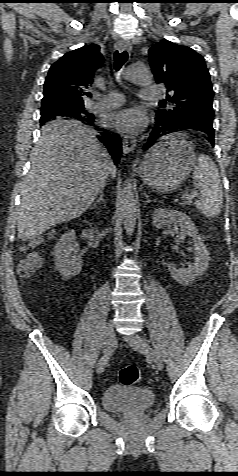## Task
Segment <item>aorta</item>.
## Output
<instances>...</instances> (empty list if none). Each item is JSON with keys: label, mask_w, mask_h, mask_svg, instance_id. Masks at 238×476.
<instances>
[{"label": "aorta", "mask_w": 238, "mask_h": 476, "mask_svg": "<svg viewBox=\"0 0 238 476\" xmlns=\"http://www.w3.org/2000/svg\"><path fill=\"white\" fill-rule=\"evenodd\" d=\"M124 77L138 85L147 86L152 83L151 73L144 67L129 66L124 71ZM121 214L126 234L132 236L137 219V206L131 178L125 180L121 197Z\"/></svg>", "instance_id": "1"}]
</instances>
